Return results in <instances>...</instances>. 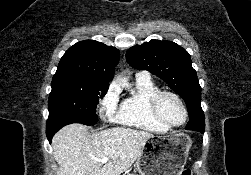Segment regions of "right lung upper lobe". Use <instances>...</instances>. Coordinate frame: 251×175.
I'll return each instance as SVG.
<instances>
[{"label": "right lung upper lobe", "instance_id": "right-lung-upper-lobe-1", "mask_svg": "<svg viewBox=\"0 0 251 175\" xmlns=\"http://www.w3.org/2000/svg\"><path fill=\"white\" fill-rule=\"evenodd\" d=\"M119 57L112 46L95 40L77 42L62 56L53 80L109 87Z\"/></svg>", "mask_w": 251, "mask_h": 175}]
</instances>
